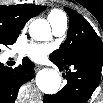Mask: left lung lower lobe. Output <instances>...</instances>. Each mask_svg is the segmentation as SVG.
<instances>
[{
    "mask_svg": "<svg viewBox=\"0 0 103 103\" xmlns=\"http://www.w3.org/2000/svg\"><path fill=\"white\" fill-rule=\"evenodd\" d=\"M52 62L60 70H68L66 73L67 84L54 95H44L43 102L86 103L100 82L103 67L102 46H90L87 55L76 57L68 64Z\"/></svg>",
    "mask_w": 103,
    "mask_h": 103,
    "instance_id": "1",
    "label": "left lung lower lobe"
}]
</instances>
